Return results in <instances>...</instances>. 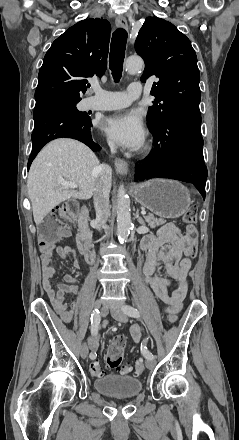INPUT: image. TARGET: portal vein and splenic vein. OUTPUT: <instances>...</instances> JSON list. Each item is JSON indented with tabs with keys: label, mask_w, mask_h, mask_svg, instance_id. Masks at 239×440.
Returning a JSON list of instances; mask_svg holds the SVG:
<instances>
[{
	"label": "portal vein and splenic vein",
	"mask_w": 239,
	"mask_h": 440,
	"mask_svg": "<svg viewBox=\"0 0 239 440\" xmlns=\"http://www.w3.org/2000/svg\"><path fill=\"white\" fill-rule=\"evenodd\" d=\"M58 182L63 188H78V184H75V182H66L63 178H58ZM141 214H146V211L142 210Z\"/></svg>",
	"instance_id": "obj_1"
}]
</instances>
